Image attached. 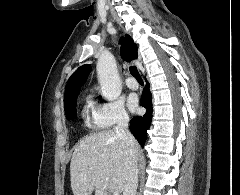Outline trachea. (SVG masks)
<instances>
[{
	"label": "trachea",
	"mask_w": 240,
	"mask_h": 195,
	"mask_svg": "<svg viewBox=\"0 0 240 195\" xmlns=\"http://www.w3.org/2000/svg\"><path fill=\"white\" fill-rule=\"evenodd\" d=\"M130 73L131 75H133V77L136 78L137 82L143 84V79L139 73V71L137 70V67H135L134 65L132 67H130Z\"/></svg>",
	"instance_id": "3493384b"
}]
</instances>
